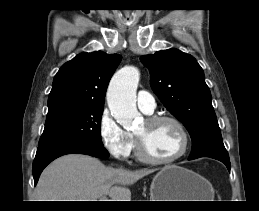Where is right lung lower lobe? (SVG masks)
Here are the masks:
<instances>
[{"mask_svg":"<svg viewBox=\"0 0 259 211\" xmlns=\"http://www.w3.org/2000/svg\"><path fill=\"white\" fill-rule=\"evenodd\" d=\"M79 153L86 154L98 158H108V151L102 146H93L79 142H57L40 146L33 162V177L35 185L43 169L54 159L65 154Z\"/></svg>","mask_w":259,"mask_h":211,"instance_id":"obj_1","label":"right lung lower lobe"}]
</instances>
